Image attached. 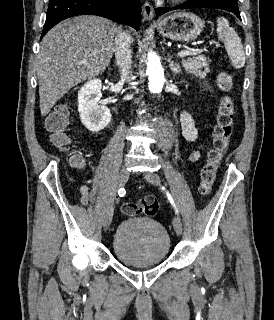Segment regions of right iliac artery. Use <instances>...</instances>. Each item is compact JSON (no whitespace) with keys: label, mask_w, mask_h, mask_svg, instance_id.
I'll return each mask as SVG.
<instances>
[{"label":"right iliac artery","mask_w":274,"mask_h":320,"mask_svg":"<svg viewBox=\"0 0 274 320\" xmlns=\"http://www.w3.org/2000/svg\"><path fill=\"white\" fill-rule=\"evenodd\" d=\"M126 191L124 188H120L119 191H118V194L120 197H123L125 195Z\"/></svg>","instance_id":"obj_1"}]
</instances>
